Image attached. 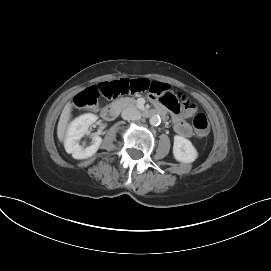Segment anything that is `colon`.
Segmentation results:
<instances>
[{"label": "colon", "instance_id": "1", "mask_svg": "<svg viewBox=\"0 0 271 271\" xmlns=\"http://www.w3.org/2000/svg\"><path fill=\"white\" fill-rule=\"evenodd\" d=\"M154 82L147 79H119L110 82H103L98 85H93L81 91L74 97V104L79 108L94 107L98 104L100 96L118 97L127 94L149 93V87L153 86ZM168 89V88H167ZM165 89L164 95H152L157 98L161 104L166 106L174 113L181 111V105L177 98ZM187 109L190 106L186 104ZM193 127L195 134L199 138H204L209 133V123L207 117L203 113H197L193 118Z\"/></svg>", "mask_w": 271, "mask_h": 271}]
</instances>
